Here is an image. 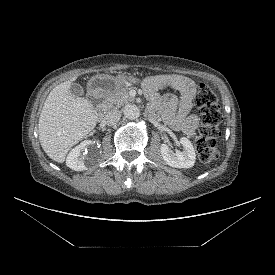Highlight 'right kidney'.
<instances>
[{
  "label": "right kidney",
  "mask_w": 275,
  "mask_h": 275,
  "mask_svg": "<svg viewBox=\"0 0 275 275\" xmlns=\"http://www.w3.org/2000/svg\"><path fill=\"white\" fill-rule=\"evenodd\" d=\"M92 144L91 141L85 140L81 142L78 146L73 148L66 159V165L75 171H84L87 169L84 158L81 157V151L86 149L88 146Z\"/></svg>",
  "instance_id": "1"
}]
</instances>
